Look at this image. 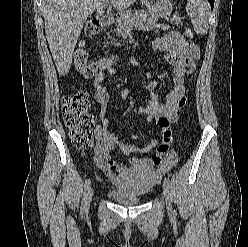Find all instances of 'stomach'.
Wrapping results in <instances>:
<instances>
[{"instance_id":"stomach-1","label":"stomach","mask_w":248,"mask_h":247,"mask_svg":"<svg viewBox=\"0 0 248 247\" xmlns=\"http://www.w3.org/2000/svg\"><path fill=\"white\" fill-rule=\"evenodd\" d=\"M147 9L159 16L169 15L172 11L171 0H143Z\"/></svg>"}]
</instances>
